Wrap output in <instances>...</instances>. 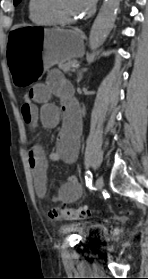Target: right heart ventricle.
Masks as SVG:
<instances>
[{
  "mask_svg": "<svg viewBox=\"0 0 148 279\" xmlns=\"http://www.w3.org/2000/svg\"><path fill=\"white\" fill-rule=\"evenodd\" d=\"M28 12L30 20L39 26H50L53 25L54 22L47 17L41 15L37 9H36V1L35 0H29L28 3Z\"/></svg>",
  "mask_w": 148,
  "mask_h": 279,
  "instance_id": "obj_1",
  "label": "right heart ventricle"
}]
</instances>
